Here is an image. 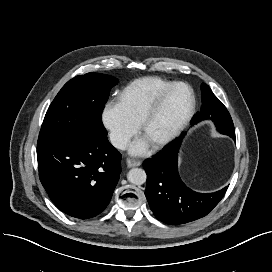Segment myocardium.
Segmentation results:
<instances>
[{
  "label": "myocardium",
  "mask_w": 272,
  "mask_h": 272,
  "mask_svg": "<svg viewBox=\"0 0 272 272\" xmlns=\"http://www.w3.org/2000/svg\"><path fill=\"white\" fill-rule=\"evenodd\" d=\"M180 87L186 89L188 92V95H189V105L186 110V113L183 116V118L181 119V121L178 123V125L172 131H170L166 135L150 142L154 148H161V147L169 144L171 141H173L187 127V125L189 124V122L191 121V119L194 115L196 101H195V96H194L193 90L186 83L176 82V83H173L169 88H167L161 95H159L158 98L147 109V111L145 112L143 119L139 125L140 132L144 135L149 124L151 123L153 118L157 115V113L160 111V109L165 104V102L168 100V98L172 95V93L177 88H180Z\"/></svg>",
  "instance_id": "obj_1"
}]
</instances>
